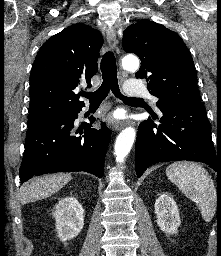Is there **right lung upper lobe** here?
<instances>
[{
	"mask_svg": "<svg viewBox=\"0 0 221 256\" xmlns=\"http://www.w3.org/2000/svg\"><path fill=\"white\" fill-rule=\"evenodd\" d=\"M102 44L98 30L80 23L48 39L40 48L30 74L29 117L36 114L55 117L82 108L84 102L79 101L75 91L82 81L91 86Z\"/></svg>",
	"mask_w": 221,
	"mask_h": 256,
	"instance_id": "1",
	"label": "right lung upper lobe"
}]
</instances>
